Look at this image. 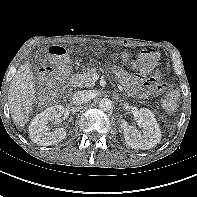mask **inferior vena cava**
<instances>
[{
	"mask_svg": "<svg viewBox=\"0 0 197 197\" xmlns=\"http://www.w3.org/2000/svg\"><path fill=\"white\" fill-rule=\"evenodd\" d=\"M91 97L89 95L88 91H77L73 94L72 97V103L74 105H83L85 103H87L88 101H90Z\"/></svg>",
	"mask_w": 197,
	"mask_h": 197,
	"instance_id": "obj_1",
	"label": "inferior vena cava"
}]
</instances>
